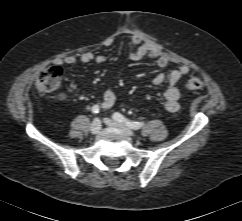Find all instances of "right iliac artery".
Returning <instances> with one entry per match:
<instances>
[{
    "label": "right iliac artery",
    "instance_id": "82829eb1",
    "mask_svg": "<svg viewBox=\"0 0 242 221\" xmlns=\"http://www.w3.org/2000/svg\"><path fill=\"white\" fill-rule=\"evenodd\" d=\"M99 111H100V108L98 105H94L92 107V113L97 114V113H99Z\"/></svg>",
    "mask_w": 242,
    "mask_h": 221
}]
</instances>
